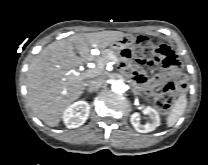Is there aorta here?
Returning <instances> with one entry per match:
<instances>
[{
  "label": "aorta",
  "mask_w": 208,
  "mask_h": 165,
  "mask_svg": "<svg viewBox=\"0 0 208 165\" xmlns=\"http://www.w3.org/2000/svg\"><path fill=\"white\" fill-rule=\"evenodd\" d=\"M112 90L115 93H124L126 91V85L122 80H115L112 83Z\"/></svg>",
  "instance_id": "1"
}]
</instances>
